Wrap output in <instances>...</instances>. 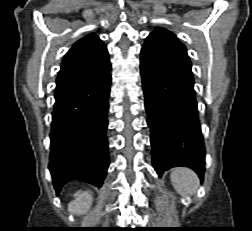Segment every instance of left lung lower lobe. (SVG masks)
<instances>
[{
	"label": "left lung lower lobe",
	"instance_id": "1",
	"mask_svg": "<svg viewBox=\"0 0 252 231\" xmlns=\"http://www.w3.org/2000/svg\"><path fill=\"white\" fill-rule=\"evenodd\" d=\"M140 68L156 172L161 176L186 166L202 180L205 148L186 47L168 36L150 38L142 47Z\"/></svg>",
	"mask_w": 252,
	"mask_h": 231
}]
</instances>
